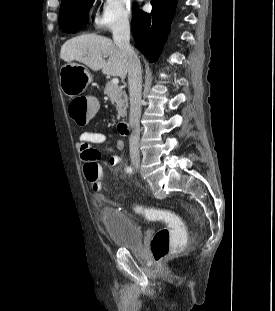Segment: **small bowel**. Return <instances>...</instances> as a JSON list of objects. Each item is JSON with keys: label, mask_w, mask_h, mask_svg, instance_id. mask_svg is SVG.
Masks as SVG:
<instances>
[{"label": "small bowel", "mask_w": 275, "mask_h": 311, "mask_svg": "<svg viewBox=\"0 0 275 311\" xmlns=\"http://www.w3.org/2000/svg\"><path fill=\"white\" fill-rule=\"evenodd\" d=\"M107 139V135L102 132L84 131L80 133L76 148L79 152L80 159L85 162V165L94 160H100L102 156V149H93V144H103ZM124 149V141L122 139L116 140L115 149L105 147L104 151L110 153L111 156L105 161L109 166H117L121 163V157L118 152ZM85 167V166H84Z\"/></svg>", "instance_id": "c3829d8e"}]
</instances>
